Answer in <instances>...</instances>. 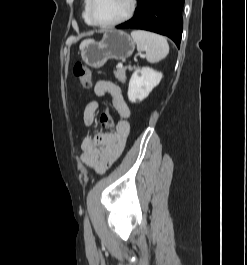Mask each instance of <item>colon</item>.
Returning a JSON list of instances; mask_svg holds the SVG:
<instances>
[{
	"mask_svg": "<svg viewBox=\"0 0 247 265\" xmlns=\"http://www.w3.org/2000/svg\"><path fill=\"white\" fill-rule=\"evenodd\" d=\"M73 73L84 88L91 86V71L87 66L77 63L73 67ZM100 122L106 128L112 129L114 127L113 119L107 109L102 112Z\"/></svg>",
	"mask_w": 247,
	"mask_h": 265,
	"instance_id": "obj_1",
	"label": "colon"
}]
</instances>
